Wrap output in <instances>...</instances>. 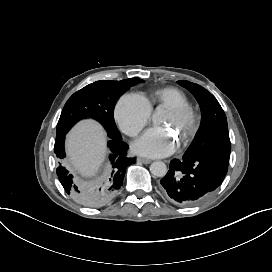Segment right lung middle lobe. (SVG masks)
I'll return each instance as SVG.
<instances>
[{
  "mask_svg": "<svg viewBox=\"0 0 272 272\" xmlns=\"http://www.w3.org/2000/svg\"><path fill=\"white\" fill-rule=\"evenodd\" d=\"M143 80L96 81L74 93L66 102L57 124L56 138L65 135L79 120L92 118L99 121L111 138L120 133L114 121V106L119 96L130 86Z\"/></svg>",
  "mask_w": 272,
  "mask_h": 272,
  "instance_id": "obj_1",
  "label": "right lung middle lobe"
}]
</instances>
